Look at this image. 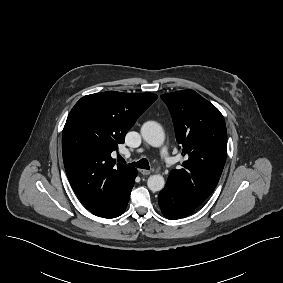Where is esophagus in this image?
<instances>
[{
    "mask_svg": "<svg viewBox=\"0 0 283 283\" xmlns=\"http://www.w3.org/2000/svg\"><path fill=\"white\" fill-rule=\"evenodd\" d=\"M142 175H150L151 171L147 169H140L139 170Z\"/></svg>",
    "mask_w": 283,
    "mask_h": 283,
    "instance_id": "esophagus-1",
    "label": "esophagus"
}]
</instances>
